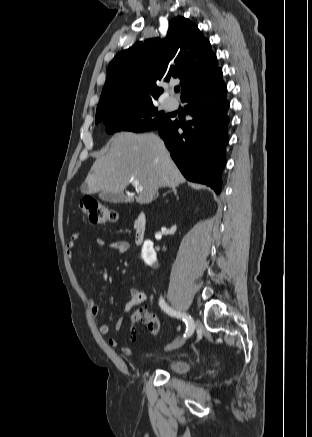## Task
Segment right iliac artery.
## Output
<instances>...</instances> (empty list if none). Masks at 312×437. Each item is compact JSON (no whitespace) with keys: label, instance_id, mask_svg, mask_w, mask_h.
<instances>
[{"label":"right iliac artery","instance_id":"right-iliac-artery-1","mask_svg":"<svg viewBox=\"0 0 312 437\" xmlns=\"http://www.w3.org/2000/svg\"><path fill=\"white\" fill-rule=\"evenodd\" d=\"M159 305H160L161 309L164 312H166L167 314L183 319V321L186 324V334H184V337H187V336L189 337L193 333L194 321L191 318V316L186 315V314H182L181 312H178V311L174 310L173 308L169 307L162 297L159 300Z\"/></svg>","mask_w":312,"mask_h":437}]
</instances>
